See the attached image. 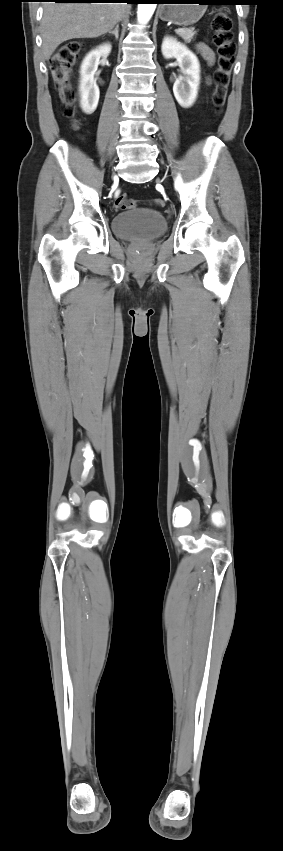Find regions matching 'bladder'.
I'll list each match as a JSON object with an SVG mask.
<instances>
[{
    "label": "bladder",
    "instance_id": "bladder-1",
    "mask_svg": "<svg viewBox=\"0 0 283 851\" xmlns=\"http://www.w3.org/2000/svg\"><path fill=\"white\" fill-rule=\"evenodd\" d=\"M164 215L152 208L135 207L116 214L112 219V230L121 239H152L166 231Z\"/></svg>",
    "mask_w": 283,
    "mask_h": 851
}]
</instances>
